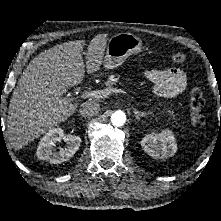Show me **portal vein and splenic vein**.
<instances>
[{"mask_svg": "<svg viewBox=\"0 0 221 221\" xmlns=\"http://www.w3.org/2000/svg\"><path fill=\"white\" fill-rule=\"evenodd\" d=\"M111 93H122V94H127V92L123 89H119V88H109V89H105V90H94V91H86L84 92L80 97L81 98H105L107 97L109 94ZM77 97V98H80ZM77 98L75 97H69V98H65L66 102H72L74 100H76Z\"/></svg>", "mask_w": 221, "mask_h": 221, "instance_id": "1", "label": "portal vein and splenic vein"}]
</instances>
